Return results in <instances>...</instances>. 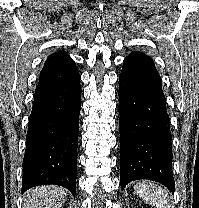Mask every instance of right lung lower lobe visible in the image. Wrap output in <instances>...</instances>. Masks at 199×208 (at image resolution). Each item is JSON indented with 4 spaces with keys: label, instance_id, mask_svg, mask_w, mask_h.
Returning a JSON list of instances; mask_svg holds the SVG:
<instances>
[{
    "label": "right lung lower lobe",
    "instance_id": "obj_1",
    "mask_svg": "<svg viewBox=\"0 0 199 208\" xmlns=\"http://www.w3.org/2000/svg\"><path fill=\"white\" fill-rule=\"evenodd\" d=\"M79 73L36 87L23 159L22 192L56 184L76 193Z\"/></svg>",
    "mask_w": 199,
    "mask_h": 208
}]
</instances>
